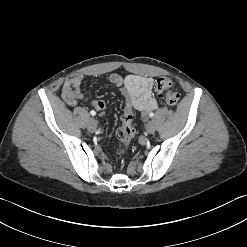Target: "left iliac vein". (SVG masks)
Wrapping results in <instances>:
<instances>
[{"label":"left iliac vein","mask_w":247,"mask_h":247,"mask_svg":"<svg viewBox=\"0 0 247 247\" xmlns=\"http://www.w3.org/2000/svg\"><path fill=\"white\" fill-rule=\"evenodd\" d=\"M146 131L149 134H153L155 132V123L153 121H149L146 125Z\"/></svg>","instance_id":"1"}]
</instances>
